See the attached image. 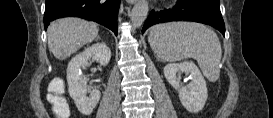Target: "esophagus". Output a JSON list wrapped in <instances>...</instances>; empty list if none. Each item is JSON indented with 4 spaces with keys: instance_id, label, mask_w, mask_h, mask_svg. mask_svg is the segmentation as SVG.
<instances>
[{
    "instance_id": "obj_1",
    "label": "esophagus",
    "mask_w": 273,
    "mask_h": 118,
    "mask_svg": "<svg viewBox=\"0 0 273 118\" xmlns=\"http://www.w3.org/2000/svg\"><path fill=\"white\" fill-rule=\"evenodd\" d=\"M136 2H137V0H127V3H129V4H134Z\"/></svg>"
}]
</instances>
